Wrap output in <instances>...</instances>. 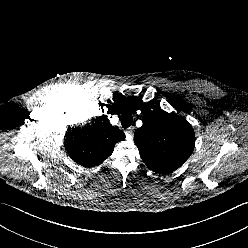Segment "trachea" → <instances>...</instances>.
I'll use <instances>...</instances> for the list:
<instances>
[{
  "mask_svg": "<svg viewBox=\"0 0 248 248\" xmlns=\"http://www.w3.org/2000/svg\"><path fill=\"white\" fill-rule=\"evenodd\" d=\"M121 124L123 128H128L133 123L132 114L129 111H125L121 116Z\"/></svg>",
  "mask_w": 248,
  "mask_h": 248,
  "instance_id": "trachea-1",
  "label": "trachea"
}]
</instances>
